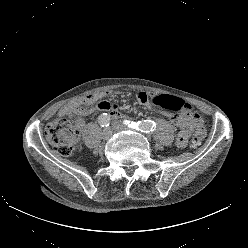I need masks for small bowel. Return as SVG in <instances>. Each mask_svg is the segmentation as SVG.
Wrapping results in <instances>:
<instances>
[{
    "label": "small bowel",
    "instance_id": "c3829d8e",
    "mask_svg": "<svg viewBox=\"0 0 248 248\" xmlns=\"http://www.w3.org/2000/svg\"><path fill=\"white\" fill-rule=\"evenodd\" d=\"M111 94L110 91H103L94 93L91 95L84 96L76 101H73L65 106H63L58 115L61 117L68 116L74 113H88L91 111L90 108H87L85 111H82V107L84 105H90L95 103V108L100 112H106L107 115L111 117H119L120 114L118 112L117 106L106 101L105 98ZM137 100L140 104L146 105L152 110L168 117L170 121L177 127L181 128V130L177 131V146L180 148H184L189 140V129H192L196 118L192 115L190 109H184L180 114H173L168 111H163L159 108H156L151 103V95L147 92H140L137 95ZM78 127L83 125V120L78 118L76 120Z\"/></svg>",
    "mask_w": 248,
    "mask_h": 248
}]
</instances>
